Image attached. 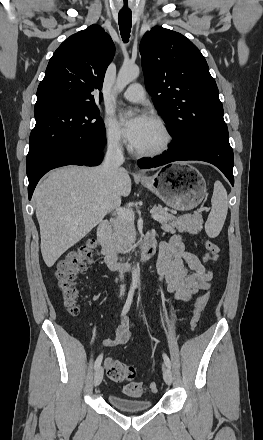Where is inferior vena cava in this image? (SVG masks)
<instances>
[{"label":"inferior vena cava","instance_id":"602c4592","mask_svg":"<svg viewBox=\"0 0 263 440\" xmlns=\"http://www.w3.org/2000/svg\"><path fill=\"white\" fill-rule=\"evenodd\" d=\"M124 163L123 149L119 143L118 137H113L109 140L107 153L103 163V169L112 184V191L110 194V201L113 206H119L121 204L120 194L117 192L116 183L120 172L123 170L121 165ZM120 279H124L123 271L120 270ZM125 285L120 286V294H124Z\"/></svg>","mask_w":263,"mask_h":440}]
</instances>
